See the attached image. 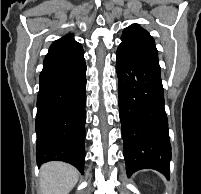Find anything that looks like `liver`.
I'll return each instance as SVG.
<instances>
[{"label": "liver", "mask_w": 201, "mask_h": 194, "mask_svg": "<svg viewBox=\"0 0 201 194\" xmlns=\"http://www.w3.org/2000/svg\"><path fill=\"white\" fill-rule=\"evenodd\" d=\"M78 171L63 162H49L40 169L41 194H68L78 181Z\"/></svg>", "instance_id": "1"}]
</instances>
